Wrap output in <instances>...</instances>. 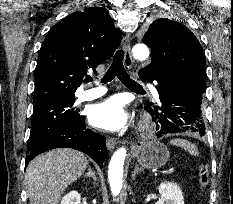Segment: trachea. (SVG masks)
<instances>
[{"label": "trachea", "mask_w": 233, "mask_h": 204, "mask_svg": "<svg viewBox=\"0 0 233 204\" xmlns=\"http://www.w3.org/2000/svg\"><path fill=\"white\" fill-rule=\"evenodd\" d=\"M123 58H124V51L118 50L113 57V62L111 66L107 70L101 82L102 83L110 82L117 76L118 79L128 88L134 89V90H142L143 88L138 83H136L134 80L130 79L129 74L124 69V66L122 63ZM91 81H92L91 78L86 79V83L91 82Z\"/></svg>", "instance_id": "1"}]
</instances>
